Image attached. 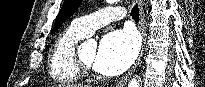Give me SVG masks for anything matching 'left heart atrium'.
Masks as SVG:
<instances>
[{"mask_svg": "<svg viewBox=\"0 0 205 87\" xmlns=\"http://www.w3.org/2000/svg\"><path fill=\"white\" fill-rule=\"evenodd\" d=\"M138 49L139 41L133 31L108 32L99 44L93 66L101 74L115 76L133 63Z\"/></svg>", "mask_w": 205, "mask_h": 87, "instance_id": "left-heart-atrium-1", "label": "left heart atrium"}]
</instances>
